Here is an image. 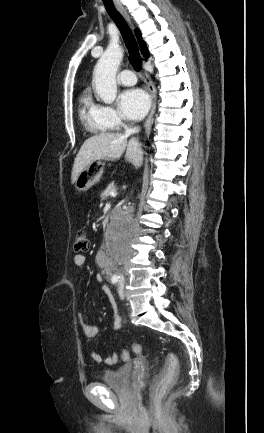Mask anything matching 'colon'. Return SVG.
I'll use <instances>...</instances> for the list:
<instances>
[{
	"label": "colon",
	"instance_id": "1",
	"mask_svg": "<svg viewBox=\"0 0 264 433\" xmlns=\"http://www.w3.org/2000/svg\"><path fill=\"white\" fill-rule=\"evenodd\" d=\"M89 249V239L85 231H78L74 240V250L76 252H87ZM132 350L136 354H140L142 346L139 342L132 344ZM121 357L124 361H128L130 354L127 350H123ZM179 372V362L175 353L168 351L165 356V365L160 374V384L164 387L171 386L175 383Z\"/></svg>",
	"mask_w": 264,
	"mask_h": 433
}]
</instances>
